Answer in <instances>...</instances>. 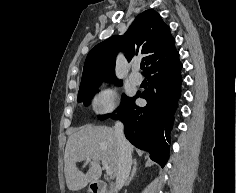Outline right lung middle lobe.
Segmentation results:
<instances>
[{
  "instance_id": "dd1d6c3e",
  "label": "right lung middle lobe",
  "mask_w": 237,
  "mask_h": 193,
  "mask_svg": "<svg viewBox=\"0 0 237 193\" xmlns=\"http://www.w3.org/2000/svg\"><path fill=\"white\" fill-rule=\"evenodd\" d=\"M120 84L121 83L119 82V85ZM98 86H99V84L79 90L78 102H83L85 106L89 105L93 95L98 91L97 90ZM129 100H130L129 97H126L125 95H123L121 105L118 108L117 112H120L124 108V106L128 103ZM111 115H113V114L100 115V116H98V118L100 120H104V119H107L108 117H110Z\"/></svg>"
}]
</instances>
